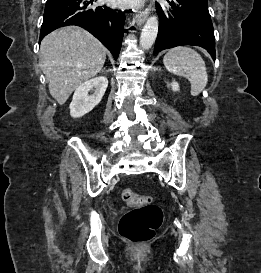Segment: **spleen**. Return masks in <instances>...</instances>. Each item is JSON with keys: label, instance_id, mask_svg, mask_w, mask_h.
Masks as SVG:
<instances>
[{"label": "spleen", "instance_id": "spleen-1", "mask_svg": "<svg viewBox=\"0 0 261 273\" xmlns=\"http://www.w3.org/2000/svg\"><path fill=\"white\" fill-rule=\"evenodd\" d=\"M166 69L190 81L192 96H198L206 87L208 74L205 62L194 49L178 46L170 49L163 58Z\"/></svg>", "mask_w": 261, "mask_h": 273}]
</instances>
